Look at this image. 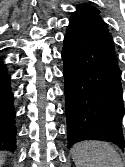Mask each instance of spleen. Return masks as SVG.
Instances as JSON below:
<instances>
[{
    "label": "spleen",
    "mask_w": 125,
    "mask_h": 167,
    "mask_svg": "<svg viewBox=\"0 0 125 167\" xmlns=\"http://www.w3.org/2000/svg\"><path fill=\"white\" fill-rule=\"evenodd\" d=\"M77 167H123L115 148L102 141L79 142L71 149Z\"/></svg>",
    "instance_id": "1"
}]
</instances>
